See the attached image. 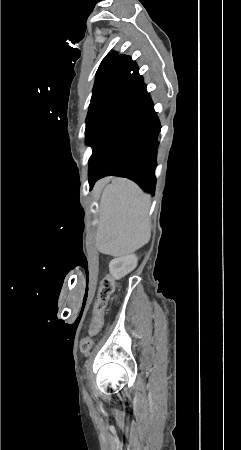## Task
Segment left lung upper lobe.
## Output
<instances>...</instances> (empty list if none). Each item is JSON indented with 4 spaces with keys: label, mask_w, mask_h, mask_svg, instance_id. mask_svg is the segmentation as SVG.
<instances>
[{
    "label": "left lung upper lobe",
    "mask_w": 241,
    "mask_h": 450,
    "mask_svg": "<svg viewBox=\"0 0 241 450\" xmlns=\"http://www.w3.org/2000/svg\"><path fill=\"white\" fill-rule=\"evenodd\" d=\"M109 53L96 73L91 104L86 117V135L97 115L118 95L125 82V68L130 61L127 55Z\"/></svg>",
    "instance_id": "1"
}]
</instances>
